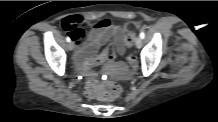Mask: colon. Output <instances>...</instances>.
I'll use <instances>...</instances> for the list:
<instances>
[{
	"label": "colon",
	"mask_w": 218,
	"mask_h": 122,
	"mask_svg": "<svg viewBox=\"0 0 218 122\" xmlns=\"http://www.w3.org/2000/svg\"><path fill=\"white\" fill-rule=\"evenodd\" d=\"M135 25L131 24L126 36V44L131 46L135 41ZM115 39L107 38L106 47L100 50L97 55H91L78 65L77 74L79 78H86L88 74L97 69V65L111 64L118 61V54L115 50ZM127 60L133 70L137 68V61L133 55H128ZM122 92V87L113 81L101 82L98 78L92 76L85 87V93L91 98L101 100H113Z\"/></svg>",
	"instance_id": "obj_1"
}]
</instances>
